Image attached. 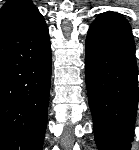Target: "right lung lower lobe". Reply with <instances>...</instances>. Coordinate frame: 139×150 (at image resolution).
I'll return each instance as SVG.
<instances>
[{
  "mask_svg": "<svg viewBox=\"0 0 139 150\" xmlns=\"http://www.w3.org/2000/svg\"><path fill=\"white\" fill-rule=\"evenodd\" d=\"M51 47L37 10L0 30V150H41L47 125Z\"/></svg>",
  "mask_w": 139,
  "mask_h": 150,
  "instance_id": "right-lung-lower-lobe-1",
  "label": "right lung lower lobe"
}]
</instances>
